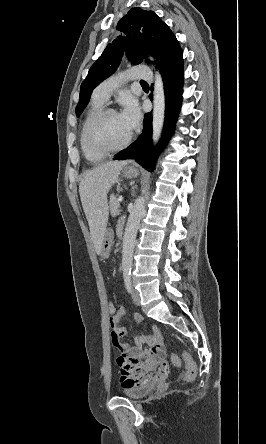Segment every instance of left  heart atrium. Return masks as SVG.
Listing matches in <instances>:
<instances>
[{
    "mask_svg": "<svg viewBox=\"0 0 266 444\" xmlns=\"http://www.w3.org/2000/svg\"><path fill=\"white\" fill-rule=\"evenodd\" d=\"M130 130L137 127L140 121V112L134 102H127L124 110L120 114Z\"/></svg>",
    "mask_w": 266,
    "mask_h": 444,
    "instance_id": "left-heart-atrium-1",
    "label": "left heart atrium"
}]
</instances>
